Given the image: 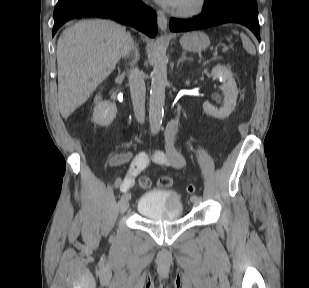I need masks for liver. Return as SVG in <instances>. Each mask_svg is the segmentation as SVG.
Segmentation results:
<instances>
[{
	"label": "liver",
	"mask_w": 309,
	"mask_h": 288,
	"mask_svg": "<svg viewBox=\"0 0 309 288\" xmlns=\"http://www.w3.org/2000/svg\"><path fill=\"white\" fill-rule=\"evenodd\" d=\"M126 28L108 20H82L66 28L57 43L58 105L68 118L115 69Z\"/></svg>",
	"instance_id": "6515ba94"
}]
</instances>
